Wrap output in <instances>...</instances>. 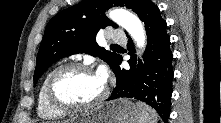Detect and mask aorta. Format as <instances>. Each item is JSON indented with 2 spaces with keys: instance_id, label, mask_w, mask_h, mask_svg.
Listing matches in <instances>:
<instances>
[{
  "instance_id": "762f6f07",
  "label": "aorta",
  "mask_w": 221,
  "mask_h": 123,
  "mask_svg": "<svg viewBox=\"0 0 221 123\" xmlns=\"http://www.w3.org/2000/svg\"><path fill=\"white\" fill-rule=\"evenodd\" d=\"M109 18L118 25L125 28L136 42L137 47L144 48L146 44V35L143 25L139 18L124 9H114L110 11Z\"/></svg>"
}]
</instances>
